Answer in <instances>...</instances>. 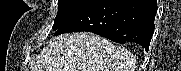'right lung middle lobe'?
<instances>
[{
  "mask_svg": "<svg viewBox=\"0 0 181 71\" xmlns=\"http://www.w3.org/2000/svg\"><path fill=\"white\" fill-rule=\"evenodd\" d=\"M93 1L94 0H58V13L52 27L53 30H57L69 22Z\"/></svg>",
  "mask_w": 181,
  "mask_h": 71,
  "instance_id": "right-lung-middle-lobe-1",
  "label": "right lung middle lobe"
}]
</instances>
